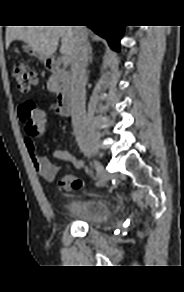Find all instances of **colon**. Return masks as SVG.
<instances>
[{"instance_id":"1","label":"colon","mask_w":184,"mask_h":292,"mask_svg":"<svg viewBox=\"0 0 184 292\" xmlns=\"http://www.w3.org/2000/svg\"><path fill=\"white\" fill-rule=\"evenodd\" d=\"M12 74L21 92H28L37 82V72L24 61H16L11 66ZM18 114L25 127L26 134L33 139L39 137L45 129V114L33 102L27 101L18 108ZM68 184L72 189L82 187V181L68 176Z\"/></svg>"}]
</instances>
